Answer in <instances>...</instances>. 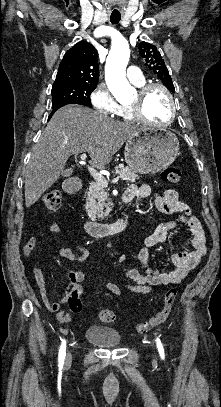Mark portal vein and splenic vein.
<instances>
[{"instance_id": "1", "label": "portal vein and splenic vein", "mask_w": 221, "mask_h": 407, "mask_svg": "<svg viewBox=\"0 0 221 407\" xmlns=\"http://www.w3.org/2000/svg\"><path fill=\"white\" fill-rule=\"evenodd\" d=\"M87 158L86 153L81 154L80 156V162L81 163H85ZM88 171L90 173V175L93 177V179L95 180V182H97L99 185H101L102 187H107L109 182L106 180V178L99 173L93 166L87 165ZM120 179V176L115 177L112 182L116 183L118 182Z\"/></svg>"}]
</instances>
